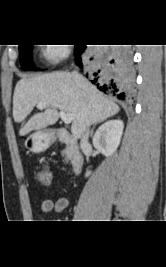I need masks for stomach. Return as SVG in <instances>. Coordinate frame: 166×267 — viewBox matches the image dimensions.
Wrapping results in <instances>:
<instances>
[{"label":"stomach","mask_w":166,"mask_h":267,"mask_svg":"<svg viewBox=\"0 0 166 267\" xmlns=\"http://www.w3.org/2000/svg\"><path fill=\"white\" fill-rule=\"evenodd\" d=\"M53 140L54 135L50 131H37L27 138L25 145L30 146L32 152L40 153L48 149Z\"/></svg>","instance_id":"1"}]
</instances>
